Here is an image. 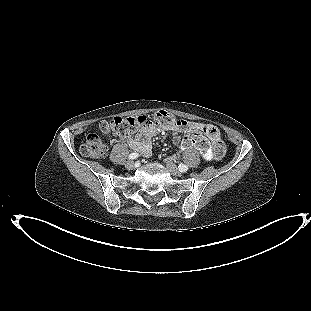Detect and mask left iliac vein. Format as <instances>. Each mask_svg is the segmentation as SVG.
<instances>
[{"label": "left iliac vein", "mask_w": 311, "mask_h": 311, "mask_svg": "<svg viewBox=\"0 0 311 311\" xmlns=\"http://www.w3.org/2000/svg\"><path fill=\"white\" fill-rule=\"evenodd\" d=\"M166 167L167 170L174 176H179L181 175V171L177 168V166L171 161L167 160L166 161Z\"/></svg>", "instance_id": "left-iliac-vein-1"}]
</instances>
